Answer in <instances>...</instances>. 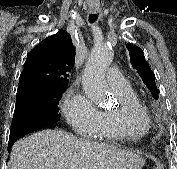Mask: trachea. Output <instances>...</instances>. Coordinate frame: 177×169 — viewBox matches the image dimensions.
<instances>
[{
  "instance_id": "trachea-1",
  "label": "trachea",
  "mask_w": 177,
  "mask_h": 169,
  "mask_svg": "<svg viewBox=\"0 0 177 169\" xmlns=\"http://www.w3.org/2000/svg\"><path fill=\"white\" fill-rule=\"evenodd\" d=\"M97 20V15L96 14H91L90 16H89V22L90 23H93V22H95Z\"/></svg>"
}]
</instances>
